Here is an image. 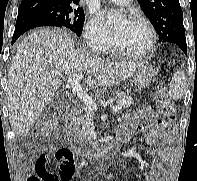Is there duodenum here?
Masks as SVG:
<instances>
[{
  "mask_svg": "<svg viewBox=\"0 0 197 181\" xmlns=\"http://www.w3.org/2000/svg\"><path fill=\"white\" fill-rule=\"evenodd\" d=\"M66 116L69 119V121L72 120L73 116H74V112L72 109H67L66 111ZM126 140L125 137L119 135L112 144L110 145H106L104 147H87L86 151L92 153L94 156H97L99 158H108L111 155V151L115 148V146L117 144H119L120 142ZM83 152L80 151V154H82Z\"/></svg>",
  "mask_w": 197,
  "mask_h": 181,
  "instance_id": "duodenum-1",
  "label": "duodenum"
}]
</instances>
